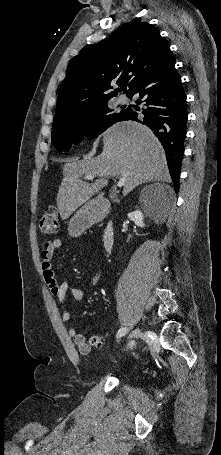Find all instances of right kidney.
I'll return each mask as SVG.
<instances>
[{
  "instance_id": "right-kidney-1",
  "label": "right kidney",
  "mask_w": 221,
  "mask_h": 455,
  "mask_svg": "<svg viewBox=\"0 0 221 455\" xmlns=\"http://www.w3.org/2000/svg\"><path fill=\"white\" fill-rule=\"evenodd\" d=\"M128 218L135 223L136 226L143 228V214L140 210H135L128 214Z\"/></svg>"
}]
</instances>
